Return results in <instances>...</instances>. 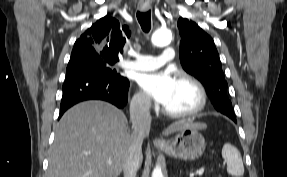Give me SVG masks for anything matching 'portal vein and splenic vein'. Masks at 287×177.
Instances as JSON below:
<instances>
[{"instance_id":"1","label":"portal vein and splenic vein","mask_w":287,"mask_h":177,"mask_svg":"<svg viewBox=\"0 0 287 177\" xmlns=\"http://www.w3.org/2000/svg\"><path fill=\"white\" fill-rule=\"evenodd\" d=\"M108 164H111V160L108 161ZM204 170H205V167H201L198 171H197V174L198 176H202L203 173H204Z\"/></svg>"}]
</instances>
